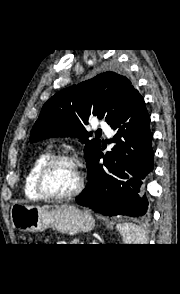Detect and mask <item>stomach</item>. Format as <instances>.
<instances>
[{
    "mask_svg": "<svg viewBox=\"0 0 180 294\" xmlns=\"http://www.w3.org/2000/svg\"><path fill=\"white\" fill-rule=\"evenodd\" d=\"M10 215L16 229L31 233L52 227L61 233L74 235L90 231L95 224L89 212L69 205L47 210L38 205L16 203L12 205Z\"/></svg>",
    "mask_w": 180,
    "mask_h": 294,
    "instance_id": "obj_1",
    "label": "stomach"
}]
</instances>
